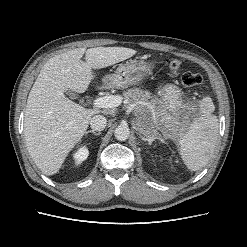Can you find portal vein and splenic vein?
<instances>
[{
    "label": "portal vein and splenic vein",
    "mask_w": 247,
    "mask_h": 247,
    "mask_svg": "<svg viewBox=\"0 0 247 247\" xmlns=\"http://www.w3.org/2000/svg\"><path fill=\"white\" fill-rule=\"evenodd\" d=\"M122 97L118 95H109V96H103L96 98L93 101V104L95 107L98 108H113L117 107L121 104Z\"/></svg>",
    "instance_id": "1"
}]
</instances>
